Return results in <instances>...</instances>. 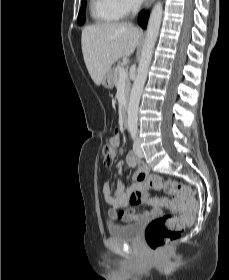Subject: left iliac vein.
Segmentation results:
<instances>
[{"instance_id": "4c4485c4", "label": "left iliac vein", "mask_w": 229, "mask_h": 280, "mask_svg": "<svg viewBox=\"0 0 229 280\" xmlns=\"http://www.w3.org/2000/svg\"><path fill=\"white\" fill-rule=\"evenodd\" d=\"M133 150H134L135 155H137L138 157H143L144 153H143V150L140 146V142L138 139H136L134 141Z\"/></svg>"}]
</instances>
